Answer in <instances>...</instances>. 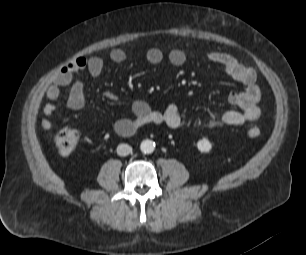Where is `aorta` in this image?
<instances>
[{"instance_id": "obj_1", "label": "aorta", "mask_w": 306, "mask_h": 255, "mask_svg": "<svg viewBox=\"0 0 306 255\" xmlns=\"http://www.w3.org/2000/svg\"><path fill=\"white\" fill-rule=\"evenodd\" d=\"M140 150L144 154H151L155 150V143L152 140H143L140 144Z\"/></svg>"}]
</instances>
